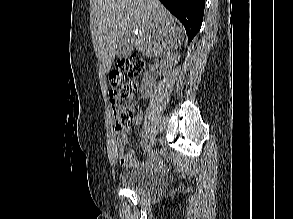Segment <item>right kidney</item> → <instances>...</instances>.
Segmentation results:
<instances>
[{"label": "right kidney", "mask_w": 293, "mask_h": 219, "mask_svg": "<svg viewBox=\"0 0 293 219\" xmlns=\"http://www.w3.org/2000/svg\"><path fill=\"white\" fill-rule=\"evenodd\" d=\"M172 65H173L172 55L167 54V55L163 56V58L161 59V69H162L163 73H165L167 71V69H169V67L171 68ZM151 89H152L151 79H150L148 73H145L143 76V79H142V83H141L142 95L147 96L150 93Z\"/></svg>", "instance_id": "obj_1"}]
</instances>
